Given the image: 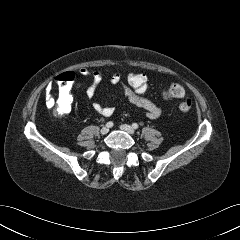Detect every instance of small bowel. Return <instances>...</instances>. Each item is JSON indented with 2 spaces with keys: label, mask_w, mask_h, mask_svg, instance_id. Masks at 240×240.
<instances>
[{
  "label": "small bowel",
  "mask_w": 240,
  "mask_h": 240,
  "mask_svg": "<svg viewBox=\"0 0 240 240\" xmlns=\"http://www.w3.org/2000/svg\"><path fill=\"white\" fill-rule=\"evenodd\" d=\"M80 75L84 77H91L92 83L86 89V96L88 99H93L97 91L98 86L102 82L103 74L100 70H91L89 68H81L79 71ZM110 84L112 86H121L125 97L128 101L145 110L146 116L149 119H157L163 114V109L154 103L151 99L146 96H141L134 93L126 84L125 78L120 72H114L110 78ZM48 104L52 105V101L48 100ZM93 109L104 117H110L113 115L115 108L110 106H104L98 102H93Z\"/></svg>",
  "instance_id": "1"
}]
</instances>
